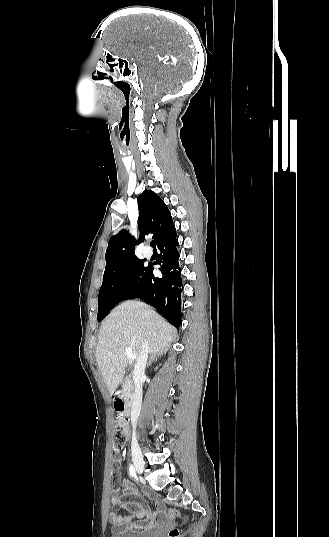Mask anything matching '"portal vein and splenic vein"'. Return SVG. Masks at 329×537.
<instances>
[{
  "mask_svg": "<svg viewBox=\"0 0 329 537\" xmlns=\"http://www.w3.org/2000/svg\"><path fill=\"white\" fill-rule=\"evenodd\" d=\"M125 352L130 361H133L136 359L137 355L132 353L131 347H126Z\"/></svg>",
  "mask_w": 329,
  "mask_h": 537,
  "instance_id": "portal-vein-and-splenic-vein-1",
  "label": "portal vein and splenic vein"
}]
</instances>
